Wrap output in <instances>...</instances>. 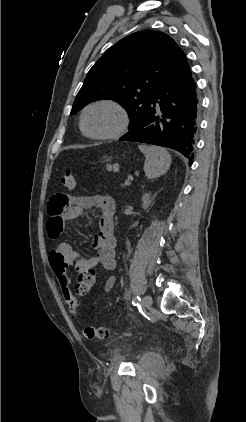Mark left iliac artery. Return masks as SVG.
<instances>
[{"mask_svg": "<svg viewBox=\"0 0 246 422\" xmlns=\"http://www.w3.org/2000/svg\"><path fill=\"white\" fill-rule=\"evenodd\" d=\"M140 297L139 296H137V297H134L133 298V300H132V304L134 305V306H138L139 305V303H140Z\"/></svg>", "mask_w": 246, "mask_h": 422, "instance_id": "44dca946", "label": "left iliac artery"}]
</instances>
